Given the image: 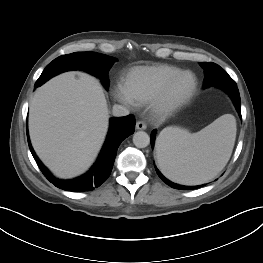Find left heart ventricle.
Listing matches in <instances>:
<instances>
[{
    "instance_id": "b2bd125f",
    "label": "left heart ventricle",
    "mask_w": 263,
    "mask_h": 263,
    "mask_svg": "<svg viewBox=\"0 0 263 263\" xmlns=\"http://www.w3.org/2000/svg\"><path fill=\"white\" fill-rule=\"evenodd\" d=\"M193 78L190 75L183 77L174 87L173 95L182 96L184 95L191 87Z\"/></svg>"
}]
</instances>
